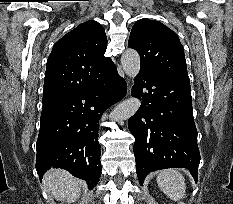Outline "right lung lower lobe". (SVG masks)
Masks as SVG:
<instances>
[{
	"mask_svg": "<svg viewBox=\"0 0 233 204\" xmlns=\"http://www.w3.org/2000/svg\"><path fill=\"white\" fill-rule=\"evenodd\" d=\"M127 92L115 65L94 84L43 107L37 140L36 170H68L92 189L101 176L98 122Z\"/></svg>",
	"mask_w": 233,
	"mask_h": 204,
	"instance_id": "right-lung-lower-lobe-1",
	"label": "right lung lower lobe"
}]
</instances>
